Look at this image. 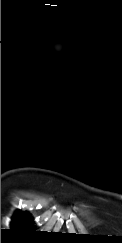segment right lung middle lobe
<instances>
[{
	"label": "right lung middle lobe",
	"instance_id": "obj_1",
	"mask_svg": "<svg viewBox=\"0 0 122 243\" xmlns=\"http://www.w3.org/2000/svg\"><path fill=\"white\" fill-rule=\"evenodd\" d=\"M12 231L18 234H28L35 231V227L32 225L31 217L18 211L13 219Z\"/></svg>",
	"mask_w": 122,
	"mask_h": 243
}]
</instances>
